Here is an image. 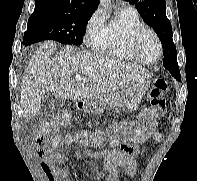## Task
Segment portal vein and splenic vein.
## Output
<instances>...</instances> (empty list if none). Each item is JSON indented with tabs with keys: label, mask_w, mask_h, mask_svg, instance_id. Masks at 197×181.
<instances>
[{
	"label": "portal vein and splenic vein",
	"mask_w": 197,
	"mask_h": 181,
	"mask_svg": "<svg viewBox=\"0 0 197 181\" xmlns=\"http://www.w3.org/2000/svg\"><path fill=\"white\" fill-rule=\"evenodd\" d=\"M75 79L77 80V81H88V79H86V78H83V77H81V76H79V75H76V77H75Z\"/></svg>",
	"instance_id": "18ae733b"
}]
</instances>
